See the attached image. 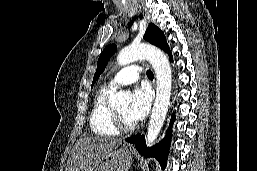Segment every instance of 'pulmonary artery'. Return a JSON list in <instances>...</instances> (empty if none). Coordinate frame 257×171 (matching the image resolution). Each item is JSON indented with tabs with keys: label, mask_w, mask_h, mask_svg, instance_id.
Segmentation results:
<instances>
[{
	"label": "pulmonary artery",
	"mask_w": 257,
	"mask_h": 171,
	"mask_svg": "<svg viewBox=\"0 0 257 171\" xmlns=\"http://www.w3.org/2000/svg\"><path fill=\"white\" fill-rule=\"evenodd\" d=\"M142 68L137 64H130L118 71L109 81L112 88L135 83L142 74Z\"/></svg>",
	"instance_id": "e3ab8cb5"
}]
</instances>
